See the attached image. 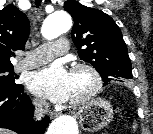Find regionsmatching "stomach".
<instances>
[{"label": "stomach", "mask_w": 153, "mask_h": 134, "mask_svg": "<svg viewBox=\"0 0 153 134\" xmlns=\"http://www.w3.org/2000/svg\"><path fill=\"white\" fill-rule=\"evenodd\" d=\"M80 126L84 131L96 132L105 128L113 119V108L103 99H94L83 105L79 112Z\"/></svg>", "instance_id": "1"}]
</instances>
